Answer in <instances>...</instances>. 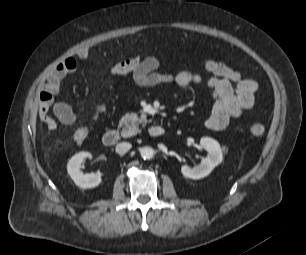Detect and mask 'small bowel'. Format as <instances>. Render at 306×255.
Returning a JSON list of instances; mask_svg holds the SVG:
<instances>
[{
    "label": "small bowel",
    "mask_w": 306,
    "mask_h": 255,
    "mask_svg": "<svg viewBox=\"0 0 306 255\" xmlns=\"http://www.w3.org/2000/svg\"><path fill=\"white\" fill-rule=\"evenodd\" d=\"M77 58L87 60L89 51L82 49L77 53ZM160 60L156 56H147L132 73L134 83L141 87H154L161 84L175 83L182 89L194 84L206 82L210 89L213 105L209 116L205 119V126L214 131L225 129L232 119L249 111L255 101L258 89L256 81L245 78L226 64L206 59L203 62L208 76L189 70L177 73H161L158 71ZM77 68V59L67 57L61 61L46 77L39 94V118L50 130L57 128L56 120L49 114L52 110L55 117L63 124L70 125L75 121L72 108L66 103L55 102L54 96L60 89L62 80Z\"/></svg>",
    "instance_id": "1"
}]
</instances>
